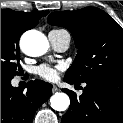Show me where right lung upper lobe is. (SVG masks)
Here are the masks:
<instances>
[{
  "label": "right lung upper lobe",
  "mask_w": 123,
  "mask_h": 123,
  "mask_svg": "<svg viewBox=\"0 0 123 123\" xmlns=\"http://www.w3.org/2000/svg\"><path fill=\"white\" fill-rule=\"evenodd\" d=\"M48 11H37V12H20L13 11L9 9L1 10V17H9L13 20H16L23 32L35 27L39 19L46 16Z\"/></svg>",
  "instance_id": "right-lung-upper-lobe-1"
}]
</instances>
